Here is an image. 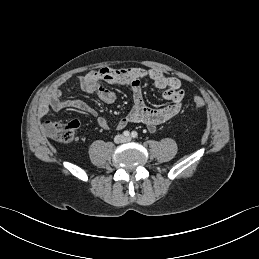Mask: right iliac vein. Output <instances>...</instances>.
<instances>
[{
  "label": "right iliac vein",
  "mask_w": 259,
  "mask_h": 259,
  "mask_svg": "<svg viewBox=\"0 0 259 259\" xmlns=\"http://www.w3.org/2000/svg\"><path fill=\"white\" fill-rule=\"evenodd\" d=\"M122 136H117L116 138H115V142H121L122 141Z\"/></svg>",
  "instance_id": "1"
}]
</instances>
